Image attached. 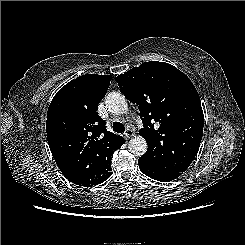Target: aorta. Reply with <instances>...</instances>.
<instances>
[{
  "label": "aorta",
  "mask_w": 245,
  "mask_h": 245,
  "mask_svg": "<svg viewBox=\"0 0 245 245\" xmlns=\"http://www.w3.org/2000/svg\"><path fill=\"white\" fill-rule=\"evenodd\" d=\"M107 110L114 115L125 114L128 103L125 96L118 92H110L105 99ZM129 151L135 156H142L147 151V142L141 136H136L129 141Z\"/></svg>",
  "instance_id": "obj_1"
}]
</instances>
